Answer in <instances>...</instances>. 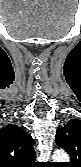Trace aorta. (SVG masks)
Returning <instances> with one entry per match:
<instances>
[{
    "instance_id": "1",
    "label": "aorta",
    "mask_w": 81,
    "mask_h": 167,
    "mask_svg": "<svg viewBox=\"0 0 81 167\" xmlns=\"http://www.w3.org/2000/svg\"><path fill=\"white\" fill-rule=\"evenodd\" d=\"M53 160L56 162H68L69 156L63 150H56L53 154Z\"/></svg>"
}]
</instances>
